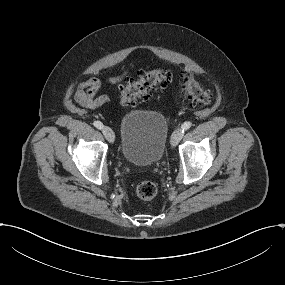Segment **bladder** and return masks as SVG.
<instances>
[{"label": "bladder", "instance_id": "obj_1", "mask_svg": "<svg viewBox=\"0 0 285 285\" xmlns=\"http://www.w3.org/2000/svg\"><path fill=\"white\" fill-rule=\"evenodd\" d=\"M168 124L161 112L136 110L123 115L119 148L126 164L149 167L165 155Z\"/></svg>", "mask_w": 285, "mask_h": 285}]
</instances>
